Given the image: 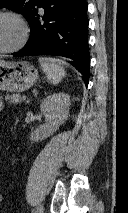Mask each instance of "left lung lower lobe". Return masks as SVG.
<instances>
[{
    "label": "left lung lower lobe",
    "instance_id": "left-lung-lower-lobe-1",
    "mask_svg": "<svg viewBox=\"0 0 128 213\" xmlns=\"http://www.w3.org/2000/svg\"><path fill=\"white\" fill-rule=\"evenodd\" d=\"M37 7L44 9L43 17L38 14ZM87 9L86 0H38L29 22L32 30L30 39L13 56L57 55L70 58L73 60L70 63L83 74L88 85Z\"/></svg>",
    "mask_w": 128,
    "mask_h": 213
}]
</instances>
